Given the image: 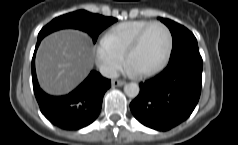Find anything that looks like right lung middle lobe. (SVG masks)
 <instances>
[{
    "instance_id": "1",
    "label": "right lung middle lobe",
    "mask_w": 238,
    "mask_h": 145,
    "mask_svg": "<svg viewBox=\"0 0 238 145\" xmlns=\"http://www.w3.org/2000/svg\"><path fill=\"white\" fill-rule=\"evenodd\" d=\"M116 21L117 19L113 17H104L102 15L93 14L85 10H78L53 19L39 32L38 40H42L51 32L64 28H74L88 33L95 43L98 35L106 27Z\"/></svg>"
}]
</instances>
